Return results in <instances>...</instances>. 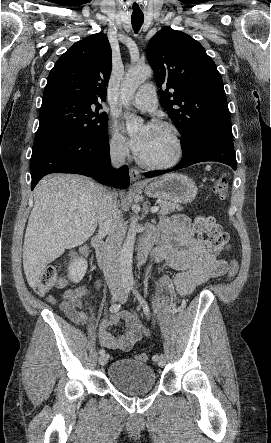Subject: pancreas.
Returning <instances> with one entry per match:
<instances>
[{"label":"pancreas","instance_id":"cf45deb5","mask_svg":"<svg viewBox=\"0 0 271 443\" xmlns=\"http://www.w3.org/2000/svg\"><path fill=\"white\" fill-rule=\"evenodd\" d=\"M159 206V214H170V212H182L183 210L180 204H176V202H165V200H160Z\"/></svg>","mask_w":271,"mask_h":443}]
</instances>
